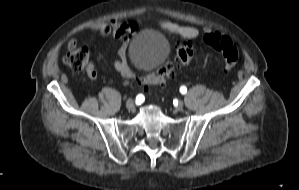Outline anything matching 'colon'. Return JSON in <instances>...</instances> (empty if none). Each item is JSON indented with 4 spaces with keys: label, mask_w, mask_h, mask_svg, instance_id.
<instances>
[{
    "label": "colon",
    "mask_w": 299,
    "mask_h": 190,
    "mask_svg": "<svg viewBox=\"0 0 299 190\" xmlns=\"http://www.w3.org/2000/svg\"><path fill=\"white\" fill-rule=\"evenodd\" d=\"M207 45L215 49L223 58L227 70L233 69L239 61V51L230 38L217 32H207L204 35ZM195 55L192 43L183 42L179 44L175 51L174 62H165L155 70L140 77L139 82L146 89L153 86H162L166 79L174 74L175 65L189 64ZM89 51L86 47L73 45L63 57V63L73 71L83 70L88 62Z\"/></svg>",
    "instance_id": "colon-1"
}]
</instances>
